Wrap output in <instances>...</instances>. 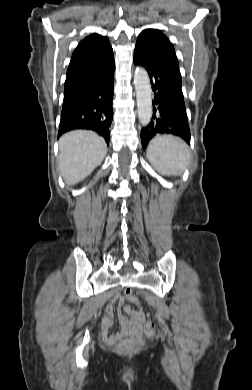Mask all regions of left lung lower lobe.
Wrapping results in <instances>:
<instances>
[{"instance_id": "1", "label": "left lung lower lobe", "mask_w": 252, "mask_h": 390, "mask_svg": "<svg viewBox=\"0 0 252 390\" xmlns=\"http://www.w3.org/2000/svg\"><path fill=\"white\" fill-rule=\"evenodd\" d=\"M134 63L145 67L154 92L153 116L140 135L143 149L158 134L177 135L190 144V129L179 69L140 44L135 46Z\"/></svg>"}]
</instances>
